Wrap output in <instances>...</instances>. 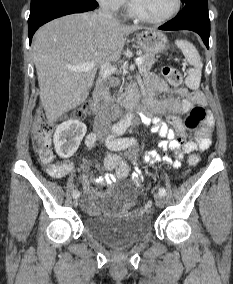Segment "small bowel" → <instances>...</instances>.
Wrapping results in <instances>:
<instances>
[{
  "label": "small bowel",
  "instance_id": "1",
  "mask_svg": "<svg viewBox=\"0 0 233 284\" xmlns=\"http://www.w3.org/2000/svg\"><path fill=\"white\" fill-rule=\"evenodd\" d=\"M145 84L147 97L145 104L140 108L139 116L145 125L150 126L153 132L163 138L159 143L163 154H159L156 150L147 151L143 157L137 153L131 154V161L136 165L132 173V180L135 183H140L143 179L138 165L144 162L151 165L164 162L179 168L184 155L207 150L211 145V128L214 123L213 117L208 115L203 125L196 130L194 137L186 139L181 115L187 113L195 105H205L204 95L200 91H188L186 88H179L175 91L174 97L157 98V93L168 90L166 82L158 75L149 74L145 78ZM161 115L165 116L166 119L158 118ZM169 151L175 154L174 159L168 155ZM46 171L54 179H63L72 174L73 164L69 161L52 163L46 167ZM115 180L111 175L103 179H91L87 175L82 177L87 193L84 200V208L87 212L95 213L97 211V204L91 195L92 184L102 182L110 184Z\"/></svg>",
  "mask_w": 233,
  "mask_h": 284
}]
</instances>
